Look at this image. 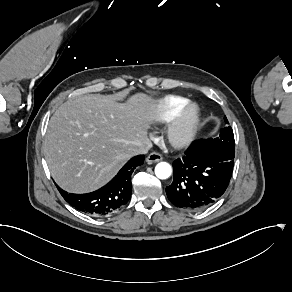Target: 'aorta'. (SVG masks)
I'll return each instance as SVG.
<instances>
[{
    "label": "aorta",
    "mask_w": 292,
    "mask_h": 292,
    "mask_svg": "<svg viewBox=\"0 0 292 292\" xmlns=\"http://www.w3.org/2000/svg\"><path fill=\"white\" fill-rule=\"evenodd\" d=\"M172 173L171 166L166 162H160L155 167V175L159 179H167Z\"/></svg>",
    "instance_id": "1"
}]
</instances>
